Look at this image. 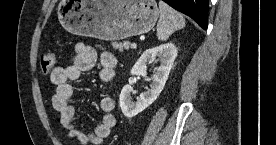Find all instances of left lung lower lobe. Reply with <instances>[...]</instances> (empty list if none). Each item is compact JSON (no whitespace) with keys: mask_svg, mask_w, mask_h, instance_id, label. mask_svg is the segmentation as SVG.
<instances>
[{"mask_svg":"<svg viewBox=\"0 0 276 145\" xmlns=\"http://www.w3.org/2000/svg\"><path fill=\"white\" fill-rule=\"evenodd\" d=\"M174 9L194 19L201 28L208 26V0H163Z\"/></svg>","mask_w":276,"mask_h":145,"instance_id":"1","label":"left lung lower lobe"}]
</instances>
